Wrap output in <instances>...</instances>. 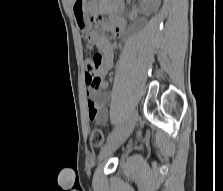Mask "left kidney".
<instances>
[{
  "instance_id": "obj_1",
  "label": "left kidney",
  "mask_w": 223,
  "mask_h": 191,
  "mask_svg": "<svg viewBox=\"0 0 223 191\" xmlns=\"http://www.w3.org/2000/svg\"><path fill=\"white\" fill-rule=\"evenodd\" d=\"M160 0H142L141 7L145 11H153L159 6Z\"/></svg>"
}]
</instances>
